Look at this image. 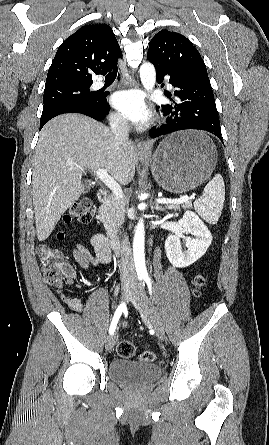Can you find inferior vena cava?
<instances>
[{"instance_id":"inferior-vena-cava-1","label":"inferior vena cava","mask_w":269,"mask_h":445,"mask_svg":"<svg viewBox=\"0 0 269 445\" xmlns=\"http://www.w3.org/2000/svg\"><path fill=\"white\" fill-rule=\"evenodd\" d=\"M129 122L125 117L118 116L111 121V131L118 142H126L129 138ZM120 274L122 281H136L137 275L132 251L126 234L121 241Z\"/></svg>"}]
</instances>
